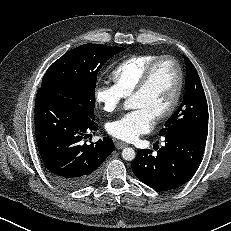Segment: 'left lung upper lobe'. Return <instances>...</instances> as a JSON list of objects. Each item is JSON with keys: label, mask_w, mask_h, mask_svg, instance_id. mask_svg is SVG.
<instances>
[{"label": "left lung upper lobe", "mask_w": 231, "mask_h": 231, "mask_svg": "<svg viewBox=\"0 0 231 231\" xmlns=\"http://www.w3.org/2000/svg\"><path fill=\"white\" fill-rule=\"evenodd\" d=\"M186 63V94L179 109L168 119L159 136L171 132L208 133V105L198 73L184 56Z\"/></svg>", "instance_id": "left-lung-upper-lobe-1"}]
</instances>
